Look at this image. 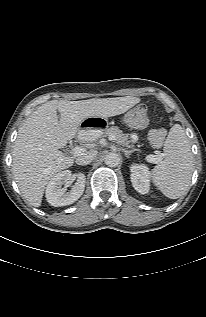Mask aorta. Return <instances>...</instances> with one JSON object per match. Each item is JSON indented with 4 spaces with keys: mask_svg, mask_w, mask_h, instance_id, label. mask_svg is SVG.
Wrapping results in <instances>:
<instances>
[{
    "mask_svg": "<svg viewBox=\"0 0 206 317\" xmlns=\"http://www.w3.org/2000/svg\"><path fill=\"white\" fill-rule=\"evenodd\" d=\"M120 160V156L116 152H110L104 158L105 164L109 167H116L120 163Z\"/></svg>",
    "mask_w": 206,
    "mask_h": 317,
    "instance_id": "1",
    "label": "aorta"
}]
</instances>
